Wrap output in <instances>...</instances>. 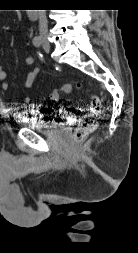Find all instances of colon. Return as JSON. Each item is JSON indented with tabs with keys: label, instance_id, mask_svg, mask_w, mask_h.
Masks as SVG:
<instances>
[{
	"label": "colon",
	"instance_id": "obj_1",
	"mask_svg": "<svg viewBox=\"0 0 138 253\" xmlns=\"http://www.w3.org/2000/svg\"><path fill=\"white\" fill-rule=\"evenodd\" d=\"M83 85L81 82L77 81L74 83H66L60 89L53 90L48 95V99L52 101H57L61 95H66L71 93L74 90H81ZM91 112L88 114L83 115L80 120L79 124L76 127L73 133V141L74 142H82L84 141L89 134H91L97 127V121L95 116L99 113L101 107V100L96 95L91 96Z\"/></svg>",
	"mask_w": 138,
	"mask_h": 253
}]
</instances>
